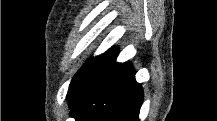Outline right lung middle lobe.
I'll return each instance as SVG.
<instances>
[{
    "mask_svg": "<svg viewBox=\"0 0 217 121\" xmlns=\"http://www.w3.org/2000/svg\"><path fill=\"white\" fill-rule=\"evenodd\" d=\"M100 56L97 57H93L90 58L84 65L83 67L77 72V74L74 76V78L72 79V82L70 84L71 88L72 86H74L79 79H81L87 72L88 70L95 64V62L99 59Z\"/></svg>",
    "mask_w": 217,
    "mask_h": 121,
    "instance_id": "obj_1",
    "label": "right lung middle lobe"
}]
</instances>
